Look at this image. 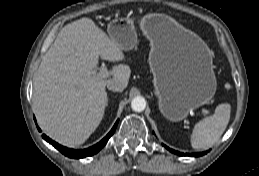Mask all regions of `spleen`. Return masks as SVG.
I'll use <instances>...</instances> for the list:
<instances>
[{
	"label": "spleen",
	"mask_w": 259,
	"mask_h": 176,
	"mask_svg": "<svg viewBox=\"0 0 259 176\" xmlns=\"http://www.w3.org/2000/svg\"><path fill=\"white\" fill-rule=\"evenodd\" d=\"M213 118L199 121L190 135L191 146L205 150L212 146L225 131L230 119L231 106L228 103L220 104L215 110Z\"/></svg>",
	"instance_id": "3e777b00"
}]
</instances>
